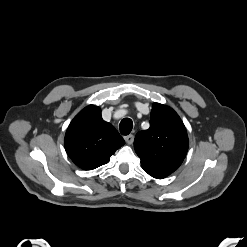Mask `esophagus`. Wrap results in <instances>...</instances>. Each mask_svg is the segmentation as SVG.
Listing matches in <instances>:
<instances>
[{
    "mask_svg": "<svg viewBox=\"0 0 247 247\" xmlns=\"http://www.w3.org/2000/svg\"><path fill=\"white\" fill-rule=\"evenodd\" d=\"M124 139L128 145H131L134 142V136L132 134L125 136Z\"/></svg>",
    "mask_w": 247,
    "mask_h": 247,
    "instance_id": "34e87169",
    "label": "esophagus"
}]
</instances>
